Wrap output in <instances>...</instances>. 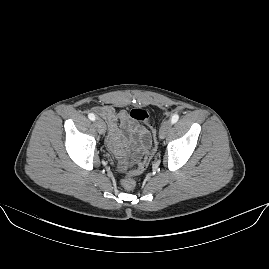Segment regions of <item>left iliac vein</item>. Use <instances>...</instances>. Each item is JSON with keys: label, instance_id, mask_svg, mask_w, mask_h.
<instances>
[{"label": "left iliac vein", "instance_id": "left-iliac-vein-1", "mask_svg": "<svg viewBox=\"0 0 269 269\" xmlns=\"http://www.w3.org/2000/svg\"><path fill=\"white\" fill-rule=\"evenodd\" d=\"M171 126H172V122L169 121V120H164L162 122V125L159 129V137L161 139L165 138L167 133L169 132V130L171 129Z\"/></svg>", "mask_w": 269, "mask_h": 269}]
</instances>
